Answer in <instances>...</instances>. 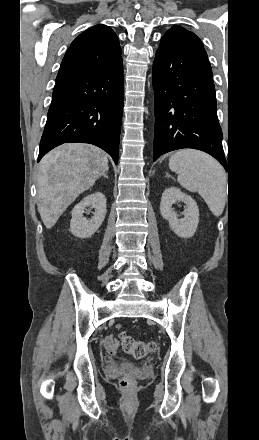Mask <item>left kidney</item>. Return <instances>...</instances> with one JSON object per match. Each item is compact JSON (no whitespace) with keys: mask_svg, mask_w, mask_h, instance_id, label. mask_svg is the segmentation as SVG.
I'll list each match as a JSON object with an SVG mask.
<instances>
[{"mask_svg":"<svg viewBox=\"0 0 259 440\" xmlns=\"http://www.w3.org/2000/svg\"><path fill=\"white\" fill-rule=\"evenodd\" d=\"M176 202H184V218L179 219L172 205ZM160 213L169 222L170 228L181 238H190L196 232L199 223V209L195 200L183 193L177 187L167 188L161 198Z\"/></svg>","mask_w":259,"mask_h":440,"instance_id":"obj_1","label":"left kidney"}]
</instances>
